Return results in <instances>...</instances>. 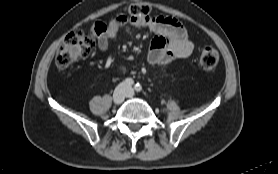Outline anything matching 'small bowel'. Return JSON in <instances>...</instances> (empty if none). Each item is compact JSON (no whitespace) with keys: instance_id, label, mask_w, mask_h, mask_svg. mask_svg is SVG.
Listing matches in <instances>:
<instances>
[{"instance_id":"obj_1","label":"small bowel","mask_w":278,"mask_h":174,"mask_svg":"<svg viewBox=\"0 0 278 174\" xmlns=\"http://www.w3.org/2000/svg\"><path fill=\"white\" fill-rule=\"evenodd\" d=\"M134 27L147 28L156 35L148 51V61L151 64L167 65L176 59L189 57L194 50V44L188 38L185 27L174 17L149 13L138 16L121 15L118 31ZM112 37L114 36L98 37L101 52L108 50Z\"/></svg>"}]
</instances>
